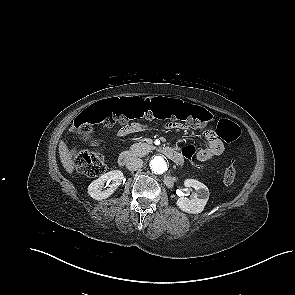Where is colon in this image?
Segmentation results:
<instances>
[{"mask_svg":"<svg viewBox=\"0 0 295 295\" xmlns=\"http://www.w3.org/2000/svg\"><path fill=\"white\" fill-rule=\"evenodd\" d=\"M141 117L165 119L171 122L182 121L195 128H204L213 119L206 109L179 100L135 98L101 102L85 109L76 117L73 130L80 138L90 140L95 124L101 123L106 126L127 124ZM216 133L225 141L231 142L240 137L241 129L234 122L221 119L216 126ZM71 153L77 170L87 177H97L106 169L104 158L98 152L74 148ZM180 154L194 169H208L207 163H200L195 159L197 151L194 146H183ZM235 177L236 169L231 164L224 172L225 185H231Z\"/></svg>","mask_w":295,"mask_h":295,"instance_id":"5ec220e1","label":"colon"}]
</instances>
